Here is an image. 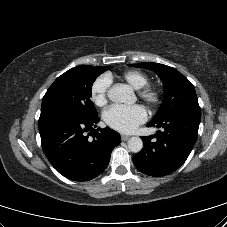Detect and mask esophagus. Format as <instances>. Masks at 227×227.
<instances>
[{"instance_id": "1", "label": "esophagus", "mask_w": 227, "mask_h": 227, "mask_svg": "<svg viewBox=\"0 0 227 227\" xmlns=\"http://www.w3.org/2000/svg\"><path fill=\"white\" fill-rule=\"evenodd\" d=\"M130 137L127 135H121V140L122 141H127Z\"/></svg>"}]
</instances>
